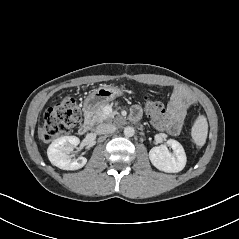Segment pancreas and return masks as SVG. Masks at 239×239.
<instances>
[{
    "instance_id": "1",
    "label": "pancreas",
    "mask_w": 239,
    "mask_h": 239,
    "mask_svg": "<svg viewBox=\"0 0 239 239\" xmlns=\"http://www.w3.org/2000/svg\"><path fill=\"white\" fill-rule=\"evenodd\" d=\"M106 106L107 105L105 104V105L101 106L100 108H98L95 111V114L92 118V120L95 123L110 122L114 118L115 113H111V114H105L104 113V109H105Z\"/></svg>"
}]
</instances>
